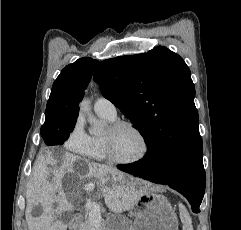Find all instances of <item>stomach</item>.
I'll use <instances>...</instances> for the list:
<instances>
[{
  "label": "stomach",
  "instance_id": "0dacf381",
  "mask_svg": "<svg viewBox=\"0 0 241 230\" xmlns=\"http://www.w3.org/2000/svg\"><path fill=\"white\" fill-rule=\"evenodd\" d=\"M110 176V182L112 180ZM133 222L112 216L106 223L108 230H178V219L166 197L157 193L150 185H142V192L129 209Z\"/></svg>",
  "mask_w": 241,
  "mask_h": 230
}]
</instances>
